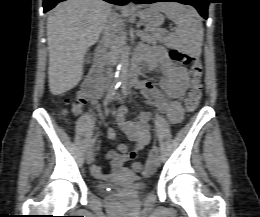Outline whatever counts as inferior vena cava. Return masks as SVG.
I'll return each instance as SVG.
<instances>
[{
    "label": "inferior vena cava",
    "instance_id": "1",
    "mask_svg": "<svg viewBox=\"0 0 260 217\" xmlns=\"http://www.w3.org/2000/svg\"><path fill=\"white\" fill-rule=\"evenodd\" d=\"M123 30V21L118 14L111 13L103 26V40L110 51H114L120 41V34ZM108 78H112V69H107Z\"/></svg>",
    "mask_w": 260,
    "mask_h": 217
}]
</instances>
